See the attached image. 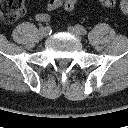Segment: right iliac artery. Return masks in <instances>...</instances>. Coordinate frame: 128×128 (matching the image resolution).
<instances>
[{
  "label": "right iliac artery",
  "instance_id": "obj_1",
  "mask_svg": "<svg viewBox=\"0 0 128 128\" xmlns=\"http://www.w3.org/2000/svg\"><path fill=\"white\" fill-rule=\"evenodd\" d=\"M47 28L49 29V31H50V27L49 26H47Z\"/></svg>",
  "mask_w": 128,
  "mask_h": 128
}]
</instances>
